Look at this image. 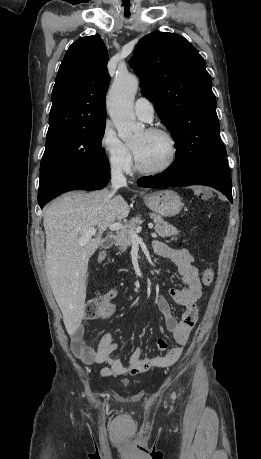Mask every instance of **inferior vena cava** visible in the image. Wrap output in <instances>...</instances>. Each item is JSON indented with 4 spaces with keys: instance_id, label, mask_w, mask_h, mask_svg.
<instances>
[{
    "instance_id": "obj_1",
    "label": "inferior vena cava",
    "mask_w": 261,
    "mask_h": 459,
    "mask_svg": "<svg viewBox=\"0 0 261 459\" xmlns=\"http://www.w3.org/2000/svg\"><path fill=\"white\" fill-rule=\"evenodd\" d=\"M111 184L113 192H116L120 187H125L127 185L126 177L123 175L120 166L112 167Z\"/></svg>"
}]
</instances>
